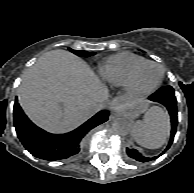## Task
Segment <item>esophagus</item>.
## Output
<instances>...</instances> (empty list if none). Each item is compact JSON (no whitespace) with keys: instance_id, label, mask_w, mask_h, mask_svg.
Masks as SVG:
<instances>
[{"instance_id":"34e87169","label":"esophagus","mask_w":194,"mask_h":193,"mask_svg":"<svg viewBox=\"0 0 194 193\" xmlns=\"http://www.w3.org/2000/svg\"><path fill=\"white\" fill-rule=\"evenodd\" d=\"M120 104H121V100L119 98H115L111 102L110 107H111L112 110H115Z\"/></svg>"}]
</instances>
